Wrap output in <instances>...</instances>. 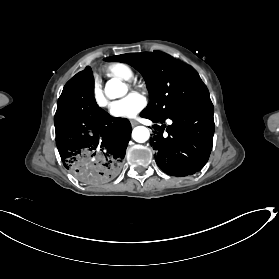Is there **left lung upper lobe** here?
Returning a JSON list of instances; mask_svg holds the SVG:
<instances>
[{
  "label": "left lung upper lobe",
  "instance_id": "obj_1",
  "mask_svg": "<svg viewBox=\"0 0 279 279\" xmlns=\"http://www.w3.org/2000/svg\"><path fill=\"white\" fill-rule=\"evenodd\" d=\"M104 60L127 63L143 75L151 99L144 113L164 119L210 100L208 89L198 73L165 53H128Z\"/></svg>",
  "mask_w": 279,
  "mask_h": 279
}]
</instances>
